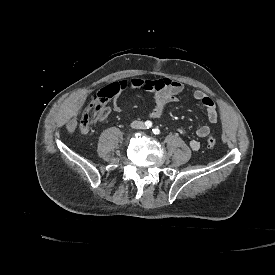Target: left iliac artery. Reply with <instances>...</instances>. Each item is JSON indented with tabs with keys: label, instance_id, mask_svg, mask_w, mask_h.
<instances>
[{
	"label": "left iliac artery",
	"instance_id": "1",
	"mask_svg": "<svg viewBox=\"0 0 275 275\" xmlns=\"http://www.w3.org/2000/svg\"><path fill=\"white\" fill-rule=\"evenodd\" d=\"M152 132H153L155 135H159V134H160V130H159L158 128L152 129Z\"/></svg>",
	"mask_w": 275,
	"mask_h": 275
}]
</instances>
